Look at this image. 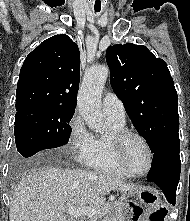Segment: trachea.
Here are the masks:
<instances>
[{
	"mask_svg": "<svg viewBox=\"0 0 190 221\" xmlns=\"http://www.w3.org/2000/svg\"><path fill=\"white\" fill-rule=\"evenodd\" d=\"M95 12H100V10H95Z\"/></svg>",
	"mask_w": 190,
	"mask_h": 221,
	"instance_id": "3493384b",
	"label": "trachea"
}]
</instances>
